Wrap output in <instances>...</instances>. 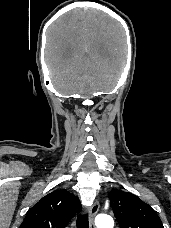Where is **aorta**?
<instances>
[{"label": "aorta", "mask_w": 171, "mask_h": 228, "mask_svg": "<svg viewBox=\"0 0 171 228\" xmlns=\"http://www.w3.org/2000/svg\"><path fill=\"white\" fill-rule=\"evenodd\" d=\"M97 228H113L114 221L111 216L106 214H100L95 219Z\"/></svg>", "instance_id": "aorta-1"}]
</instances>
